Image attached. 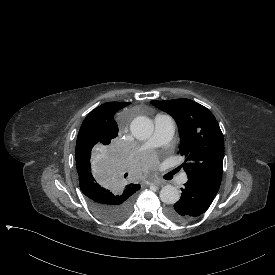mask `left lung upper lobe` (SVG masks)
<instances>
[{
  "label": "left lung upper lobe",
  "mask_w": 275,
  "mask_h": 275,
  "mask_svg": "<svg viewBox=\"0 0 275 275\" xmlns=\"http://www.w3.org/2000/svg\"><path fill=\"white\" fill-rule=\"evenodd\" d=\"M151 103L177 122L181 140L179 152L188 161L182 165L188 180L218 190L223 170L224 139L213 114L186 98Z\"/></svg>",
  "instance_id": "5c2ea615"
}]
</instances>
